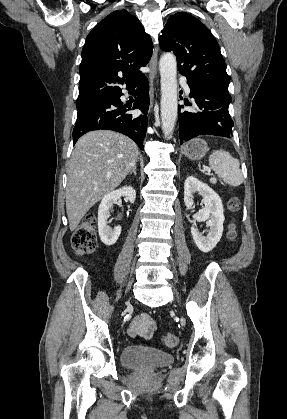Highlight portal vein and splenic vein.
<instances>
[{
	"mask_svg": "<svg viewBox=\"0 0 287 419\" xmlns=\"http://www.w3.org/2000/svg\"><path fill=\"white\" fill-rule=\"evenodd\" d=\"M207 171L210 173V169H207ZM211 182H213V183H215L216 182V179L215 178H211Z\"/></svg>",
	"mask_w": 287,
	"mask_h": 419,
	"instance_id": "1",
	"label": "portal vein and splenic vein"
}]
</instances>
